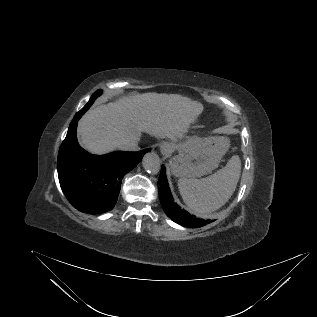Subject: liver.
I'll list each match as a JSON object with an SVG mask.
<instances>
[{"label":"liver","instance_id":"liver-1","mask_svg":"<svg viewBox=\"0 0 317 317\" xmlns=\"http://www.w3.org/2000/svg\"><path fill=\"white\" fill-rule=\"evenodd\" d=\"M203 105L178 94L143 93L122 97L90 109L79 121L77 133L86 150L105 154L142 133L176 142L186 134Z\"/></svg>","mask_w":317,"mask_h":317}]
</instances>
